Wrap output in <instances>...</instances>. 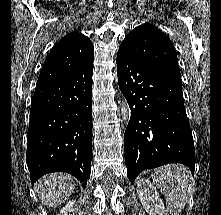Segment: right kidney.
I'll return each mask as SVG.
<instances>
[{
	"label": "right kidney",
	"instance_id": "1",
	"mask_svg": "<svg viewBox=\"0 0 221 215\" xmlns=\"http://www.w3.org/2000/svg\"><path fill=\"white\" fill-rule=\"evenodd\" d=\"M74 203L75 201H70L69 203H67L66 206L63 207V209L61 210L60 215H68V212L72 210Z\"/></svg>",
	"mask_w": 221,
	"mask_h": 215
}]
</instances>
